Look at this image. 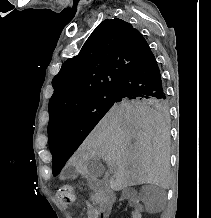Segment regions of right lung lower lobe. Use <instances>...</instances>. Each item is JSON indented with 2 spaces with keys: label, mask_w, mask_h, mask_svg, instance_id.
I'll return each mask as SVG.
<instances>
[{
  "label": "right lung lower lobe",
  "mask_w": 211,
  "mask_h": 218,
  "mask_svg": "<svg viewBox=\"0 0 211 218\" xmlns=\"http://www.w3.org/2000/svg\"><path fill=\"white\" fill-rule=\"evenodd\" d=\"M114 92L124 98H166L161 73L152 52L125 74L116 84Z\"/></svg>",
  "instance_id": "1"
}]
</instances>
